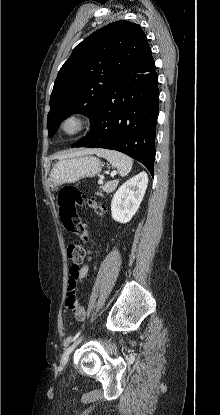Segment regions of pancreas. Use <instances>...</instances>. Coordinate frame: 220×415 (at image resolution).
<instances>
[{"label": "pancreas", "mask_w": 220, "mask_h": 415, "mask_svg": "<svg viewBox=\"0 0 220 415\" xmlns=\"http://www.w3.org/2000/svg\"><path fill=\"white\" fill-rule=\"evenodd\" d=\"M117 185H118L117 180L109 181V182H106L104 185H102L101 189L106 193H112L116 189Z\"/></svg>", "instance_id": "cf45deb5"}]
</instances>
